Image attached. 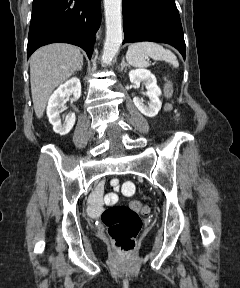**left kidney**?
Listing matches in <instances>:
<instances>
[{
  "mask_svg": "<svg viewBox=\"0 0 240 288\" xmlns=\"http://www.w3.org/2000/svg\"><path fill=\"white\" fill-rule=\"evenodd\" d=\"M130 82L138 86L145 85L146 95L150 99L148 105L143 103L141 98L134 97L133 102L138 110L147 117H155L161 109L162 103L159 99L161 89L157 85L156 77L147 69H135L129 72Z\"/></svg>",
  "mask_w": 240,
  "mask_h": 288,
  "instance_id": "obj_1",
  "label": "left kidney"
}]
</instances>
